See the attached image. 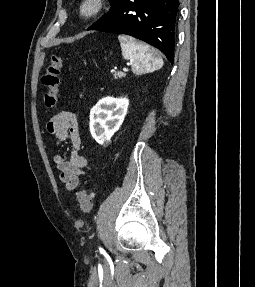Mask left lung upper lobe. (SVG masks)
<instances>
[{
  "mask_svg": "<svg viewBox=\"0 0 255 287\" xmlns=\"http://www.w3.org/2000/svg\"><path fill=\"white\" fill-rule=\"evenodd\" d=\"M110 4L112 5L116 0H109Z\"/></svg>",
  "mask_w": 255,
  "mask_h": 287,
  "instance_id": "1",
  "label": "left lung upper lobe"
}]
</instances>
